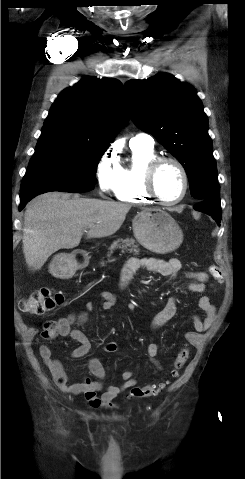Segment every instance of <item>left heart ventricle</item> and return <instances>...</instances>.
<instances>
[{
  "instance_id": "obj_1",
  "label": "left heart ventricle",
  "mask_w": 245,
  "mask_h": 479,
  "mask_svg": "<svg viewBox=\"0 0 245 479\" xmlns=\"http://www.w3.org/2000/svg\"><path fill=\"white\" fill-rule=\"evenodd\" d=\"M156 188L164 200L173 201L180 197L183 179L176 166L165 164L161 167L156 178Z\"/></svg>"
}]
</instances>
